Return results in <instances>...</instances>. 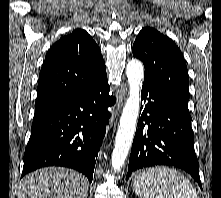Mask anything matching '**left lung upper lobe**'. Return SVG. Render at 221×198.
I'll return each instance as SVG.
<instances>
[{"mask_svg":"<svg viewBox=\"0 0 221 198\" xmlns=\"http://www.w3.org/2000/svg\"><path fill=\"white\" fill-rule=\"evenodd\" d=\"M133 56L145 67L149 81L186 111L189 101V76L184 57L176 44L151 27L143 28L133 44Z\"/></svg>","mask_w":221,"mask_h":198,"instance_id":"1","label":"left lung upper lobe"}]
</instances>
